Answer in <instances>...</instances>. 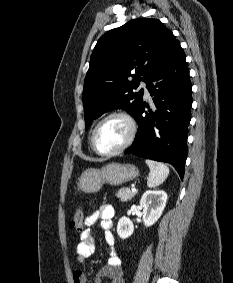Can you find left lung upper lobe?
<instances>
[{"mask_svg": "<svg viewBox=\"0 0 233 283\" xmlns=\"http://www.w3.org/2000/svg\"><path fill=\"white\" fill-rule=\"evenodd\" d=\"M177 43L163 23L145 18L129 21L100 37L82 93L86 129L93 119L117 108L135 117L143 102V90L134 93L133 89L140 80H148Z\"/></svg>", "mask_w": 233, "mask_h": 283, "instance_id": "1", "label": "left lung upper lobe"}]
</instances>
